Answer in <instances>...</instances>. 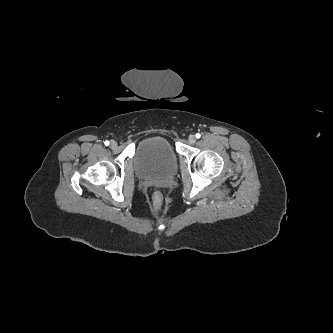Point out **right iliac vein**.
I'll return each mask as SVG.
<instances>
[{"instance_id": "right-iliac-vein-1", "label": "right iliac vein", "mask_w": 333, "mask_h": 333, "mask_svg": "<svg viewBox=\"0 0 333 333\" xmlns=\"http://www.w3.org/2000/svg\"><path fill=\"white\" fill-rule=\"evenodd\" d=\"M110 147L112 149H115L117 147V142L116 141H111Z\"/></svg>"}]
</instances>
